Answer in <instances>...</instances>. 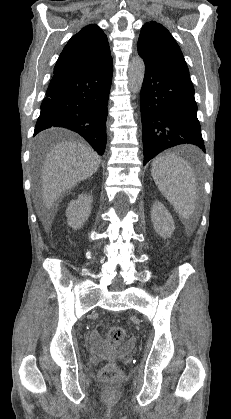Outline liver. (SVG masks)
I'll use <instances>...</instances> for the list:
<instances>
[{"label":"liver","mask_w":231,"mask_h":419,"mask_svg":"<svg viewBox=\"0 0 231 419\" xmlns=\"http://www.w3.org/2000/svg\"><path fill=\"white\" fill-rule=\"evenodd\" d=\"M48 133L37 137V144L45 141ZM100 166L98 154L78 141H65L47 154L41 174L42 205L38 215L49 228L54 218L55 201L66 191L92 176Z\"/></svg>","instance_id":"6515ba94"}]
</instances>
